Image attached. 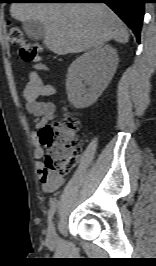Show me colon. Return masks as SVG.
<instances>
[{
  "label": "colon",
  "mask_w": 156,
  "mask_h": 266,
  "mask_svg": "<svg viewBox=\"0 0 156 266\" xmlns=\"http://www.w3.org/2000/svg\"><path fill=\"white\" fill-rule=\"evenodd\" d=\"M8 37L19 47V54L25 62L41 59V48L28 41L19 26L8 25ZM79 120L65 115L59 122L46 125L40 130V141L46 148L45 169L53 174H67L78 162L81 143L78 138Z\"/></svg>",
  "instance_id": "colon-1"
}]
</instances>
